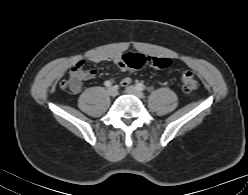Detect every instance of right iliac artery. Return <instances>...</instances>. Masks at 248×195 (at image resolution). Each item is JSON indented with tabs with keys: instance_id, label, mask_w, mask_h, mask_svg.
<instances>
[{
	"instance_id": "82829eb1",
	"label": "right iliac artery",
	"mask_w": 248,
	"mask_h": 195,
	"mask_svg": "<svg viewBox=\"0 0 248 195\" xmlns=\"http://www.w3.org/2000/svg\"><path fill=\"white\" fill-rule=\"evenodd\" d=\"M104 85H105L106 87H110V86H111V82H110V81H105V82H104Z\"/></svg>"
}]
</instances>
